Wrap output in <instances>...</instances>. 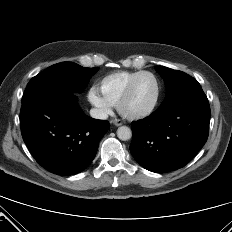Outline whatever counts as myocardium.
Segmentation results:
<instances>
[{
	"label": "myocardium",
	"instance_id": "f54148a6",
	"mask_svg": "<svg viewBox=\"0 0 232 232\" xmlns=\"http://www.w3.org/2000/svg\"><path fill=\"white\" fill-rule=\"evenodd\" d=\"M144 75L151 76L156 82L157 91H156L155 99L147 109H145L141 112H138V113H128L124 110V105L130 99L132 92H133V89H134L135 84L138 81V79ZM161 92H162V87H161V83H160L159 78L154 73H152L150 71H141L128 84L127 88L125 89L123 95L121 96V98L117 104V109L123 117L130 119V120H138V119L145 118V117L151 115L155 111V109L157 108L159 101H160V98H161Z\"/></svg>",
	"mask_w": 232,
	"mask_h": 232
}]
</instances>
